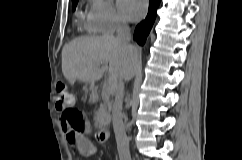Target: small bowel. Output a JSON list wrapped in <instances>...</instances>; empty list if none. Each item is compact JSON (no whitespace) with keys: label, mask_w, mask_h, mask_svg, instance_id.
<instances>
[{"label":"small bowel","mask_w":242,"mask_h":160,"mask_svg":"<svg viewBox=\"0 0 242 160\" xmlns=\"http://www.w3.org/2000/svg\"><path fill=\"white\" fill-rule=\"evenodd\" d=\"M62 130L65 134L66 141L68 144L76 146L82 155H91L94 152V146L85 137L82 132H74L70 129L67 122L61 118ZM85 129H89V125L86 124Z\"/></svg>","instance_id":"c3829d8e"}]
</instances>
